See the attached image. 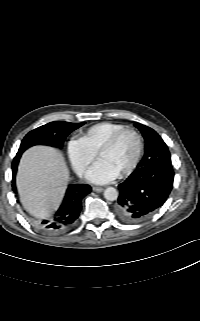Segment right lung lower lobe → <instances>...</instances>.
<instances>
[{"label":"right lung lower lobe","instance_id":"1","mask_svg":"<svg viewBox=\"0 0 200 321\" xmlns=\"http://www.w3.org/2000/svg\"><path fill=\"white\" fill-rule=\"evenodd\" d=\"M21 155L17 154L12 163V187L14 192H16L15 176ZM90 192L91 187L87 184L69 185L57 212L50 218L39 220V226L49 233L61 232L69 228L80 214L82 199Z\"/></svg>","mask_w":200,"mask_h":321}]
</instances>
